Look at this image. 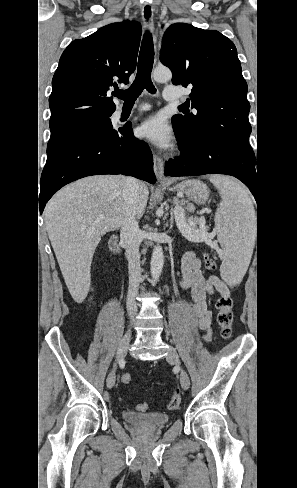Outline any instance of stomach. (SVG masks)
Masks as SVG:
<instances>
[{
  "instance_id": "0dacf381",
  "label": "stomach",
  "mask_w": 297,
  "mask_h": 488,
  "mask_svg": "<svg viewBox=\"0 0 297 488\" xmlns=\"http://www.w3.org/2000/svg\"><path fill=\"white\" fill-rule=\"evenodd\" d=\"M169 190L176 191L196 204L205 203L210 194L207 185L198 179L184 180L177 185L169 187Z\"/></svg>"
}]
</instances>
